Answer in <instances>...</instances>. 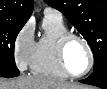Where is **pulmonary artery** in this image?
<instances>
[{
  "label": "pulmonary artery",
  "instance_id": "1",
  "mask_svg": "<svg viewBox=\"0 0 107 89\" xmlns=\"http://www.w3.org/2000/svg\"><path fill=\"white\" fill-rule=\"evenodd\" d=\"M44 15L45 16H55V17H58V18H62V15H61L60 12H58L57 10L52 9L50 7L45 8Z\"/></svg>",
  "mask_w": 107,
  "mask_h": 89
}]
</instances>
